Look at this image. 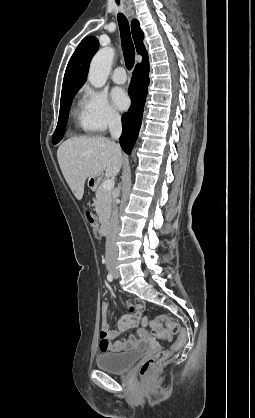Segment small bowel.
Masks as SVG:
<instances>
[{"instance_id":"small-bowel-1","label":"small bowel","mask_w":255,"mask_h":418,"mask_svg":"<svg viewBox=\"0 0 255 418\" xmlns=\"http://www.w3.org/2000/svg\"><path fill=\"white\" fill-rule=\"evenodd\" d=\"M127 306L129 313L124 319L119 321V330H111L106 320L108 305H102L103 321L101 325L99 342V349L101 352H121L134 347L138 342V337L136 335H131L127 339H121L117 341L113 340L119 335L121 331L133 327L138 323L142 325V327L138 330V336L143 337L147 335V332L144 329V326L147 324V318L142 314L143 304L139 301L136 303L128 302Z\"/></svg>"}]
</instances>
